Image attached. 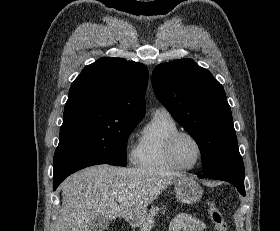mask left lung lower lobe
<instances>
[{
    "label": "left lung lower lobe",
    "instance_id": "left-lung-lower-lobe-1",
    "mask_svg": "<svg viewBox=\"0 0 280 231\" xmlns=\"http://www.w3.org/2000/svg\"><path fill=\"white\" fill-rule=\"evenodd\" d=\"M198 177L227 181L233 184L245 196L244 164L240 154L224 159L213 168L204 172L203 175H198Z\"/></svg>",
    "mask_w": 280,
    "mask_h": 231
}]
</instances>
